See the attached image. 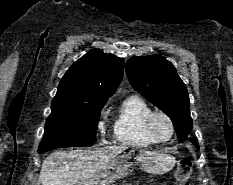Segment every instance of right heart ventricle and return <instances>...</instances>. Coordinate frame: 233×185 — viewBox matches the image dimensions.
Returning <instances> with one entry per match:
<instances>
[{
  "instance_id": "e07e8e85",
  "label": "right heart ventricle",
  "mask_w": 233,
  "mask_h": 185,
  "mask_svg": "<svg viewBox=\"0 0 233 185\" xmlns=\"http://www.w3.org/2000/svg\"><path fill=\"white\" fill-rule=\"evenodd\" d=\"M152 112L150 105L140 96L127 97L114 118L115 140L120 144L137 148L155 144L145 128V121Z\"/></svg>"
}]
</instances>
